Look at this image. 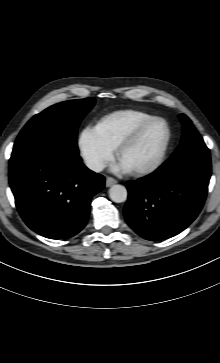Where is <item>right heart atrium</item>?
Listing matches in <instances>:
<instances>
[{"instance_id":"d8ad5b80","label":"right heart atrium","mask_w":220,"mask_h":363,"mask_svg":"<svg viewBox=\"0 0 220 363\" xmlns=\"http://www.w3.org/2000/svg\"><path fill=\"white\" fill-rule=\"evenodd\" d=\"M78 147L85 165L98 172L112 159L113 149L99 136L95 127H85L79 134Z\"/></svg>"}]
</instances>
